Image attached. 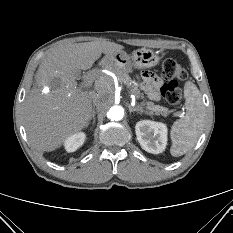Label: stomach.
<instances>
[{
  "label": "stomach",
  "mask_w": 233,
  "mask_h": 233,
  "mask_svg": "<svg viewBox=\"0 0 233 233\" xmlns=\"http://www.w3.org/2000/svg\"><path fill=\"white\" fill-rule=\"evenodd\" d=\"M160 57L152 50L141 48L127 54L125 51L118 52L111 56H105L106 65L119 69L124 72H130L133 68L146 69L158 64Z\"/></svg>",
  "instance_id": "stomach-1"
}]
</instances>
